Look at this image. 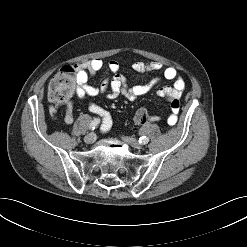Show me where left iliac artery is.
I'll return each instance as SVG.
<instances>
[{
    "mask_svg": "<svg viewBox=\"0 0 247 247\" xmlns=\"http://www.w3.org/2000/svg\"><path fill=\"white\" fill-rule=\"evenodd\" d=\"M149 142V138L146 136H142L139 138V143L141 144H147Z\"/></svg>",
    "mask_w": 247,
    "mask_h": 247,
    "instance_id": "1",
    "label": "left iliac artery"
}]
</instances>
